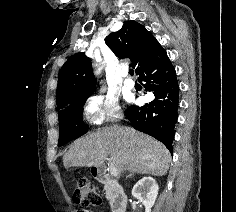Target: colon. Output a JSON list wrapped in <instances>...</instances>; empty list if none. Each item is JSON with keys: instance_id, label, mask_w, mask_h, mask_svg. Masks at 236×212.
<instances>
[{"instance_id": "colon-1", "label": "colon", "mask_w": 236, "mask_h": 212, "mask_svg": "<svg viewBox=\"0 0 236 212\" xmlns=\"http://www.w3.org/2000/svg\"><path fill=\"white\" fill-rule=\"evenodd\" d=\"M73 200L84 208L97 206L101 202L93 184L87 179L77 181V186L73 192Z\"/></svg>"}]
</instances>
